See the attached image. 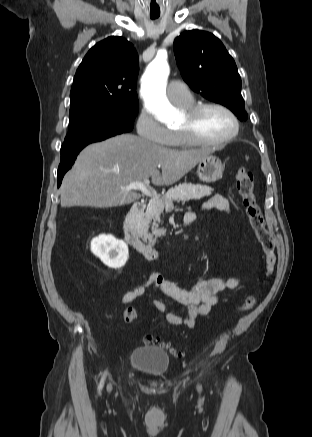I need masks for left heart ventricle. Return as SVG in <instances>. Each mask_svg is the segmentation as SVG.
I'll list each match as a JSON object with an SVG mask.
<instances>
[{"mask_svg":"<svg viewBox=\"0 0 312 437\" xmlns=\"http://www.w3.org/2000/svg\"><path fill=\"white\" fill-rule=\"evenodd\" d=\"M186 124L187 116L184 113L179 128ZM195 129L201 138L206 140H217L224 138L231 133L233 130V122L222 110L208 108L196 118Z\"/></svg>","mask_w":312,"mask_h":437,"instance_id":"left-heart-ventricle-1","label":"left heart ventricle"}]
</instances>
